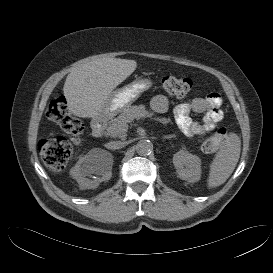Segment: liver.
I'll list each match as a JSON object with an SVG mask.
<instances>
[{"instance_id":"6515ba94","label":"liver","mask_w":273,"mask_h":273,"mask_svg":"<svg viewBox=\"0 0 273 273\" xmlns=\"http://www.w3.org/2000/svg\"><path fill=\"white\" fill-rule=\"evenodd\" d=\"M137 68L135 60L101 58L70 71L63 91L67 108L79 117H110L108 101L113 90Z\"/></svg>"}]
</instances>
